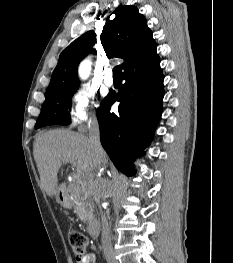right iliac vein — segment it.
Masks as SVG:
<instances>
[{"mask_svg":"<svg viewBox=\"0 0 233 263\" xmlns=\"http://www.w3.org/2000/svg\"><path fill=\"white\" fill-rule=\"evenodd\" d=\"M110 263H118V262H110Z\"/></svg>","mask_w":233,"mask_h":263,"instance_id":"1","label":"right iliac vein"}]
</instances>
